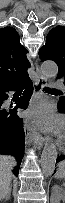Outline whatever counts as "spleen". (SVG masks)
I'll list each match as a JSON object with an SVG mask.
<instances>
[{
	"label": "spleen",
	"mask_w": 65,
	"mask_h": 203,
	"mask_svg": "<svg viewBox=\"0 0 65 203\" xmlns=\"http://www.w3.org/2000/svg\"><path fill=\"white\" fill-rule=\"evenodd\" d=\"M64 176H65V169H64V166H61L58 172L56 173V178L63 179Z\"/></svg>",
	"instance_id": "spleen-1"
}]
</instances>
